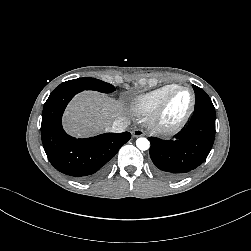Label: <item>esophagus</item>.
I'll use <instances>...</instances> for the list:
<instances>
[{
  "mask_svg": "<svg viewBox=\"0 0 251 251\" xmlns=\"http://www.w3.org/2000/svg\"><path fill=\"white\" fill-rule=\"evenodd\" d=\"M145 133H144V131L142 130V129H135V130H133V132H132V135H133V137H140V136H143Z\"/></svg>",
  "mask_w": 251,
  "mask_h": 251,
  "instance_id": "34e87169",
  "label": "esophagus"
}]
</instances>
